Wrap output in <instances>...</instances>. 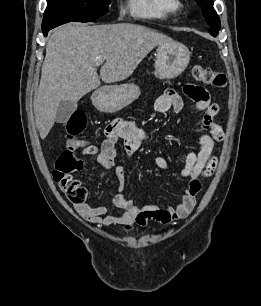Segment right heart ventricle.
Returning <instances> with one entry per match:
<instances>
[{
    "label": "right heart ventricle",
    "instance_id": "e07e8e85",
    "mask_svg": "<svg viewBox=\"0 0 261 306\" xmlns=\"http://www.w3.org/2000/svg\"><path fill=\"white\" fill-rule=\"evenodd\" d=\"M127 8L141 19H165L171 13L169 0H127Z\"/></svg>",
    "mask_w": 261,
    "mask_h": 306
}]
</instances>
